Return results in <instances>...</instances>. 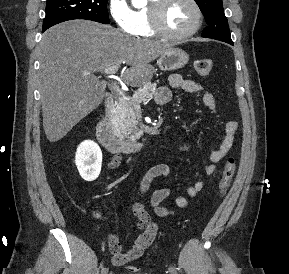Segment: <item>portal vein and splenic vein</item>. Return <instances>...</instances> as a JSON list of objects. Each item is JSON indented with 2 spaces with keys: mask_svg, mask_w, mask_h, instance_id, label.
<instances>
[{
  "mask_svg": "<svg viewBox=\"0 0 289 274\" xmlns=\"http://www.w3.org/2000/svg\"><path fill=\"white\" fill-rule=\"evenodd\" d=\"M118 68H119L118 65L106 67L104 68V73H106L107 75H114L118 71ZM112 87L118 95L125 97L124 92L119 88V86L115 82L112 83Z\"/></svg>",
  "mask_w": 289,
  "mask_h": 274,
  "instance_id": "18ae733b",
  "label": "portal vein and splenic vein"
}]
</instances>
